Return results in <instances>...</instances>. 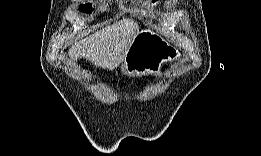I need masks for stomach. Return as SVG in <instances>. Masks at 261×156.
Instances as JSON below:
<instances>
[{
  "label": "stomach",
  "instance_id": "stomach-1",
  "mask_svg": "<svg viewBox=\"0 0 261 156\" xmlns=\"http://www.w3.org/2000/svg\"><path fill=\"white\" fill-rule=\"evenodd\" d=\"M176 51L157 35L144 29L133 38L124 58L125 70L130 75L154 74Z\"/></svg>",
  "mask_w": 261,
  "mask_h": 156
}]
</instances>
